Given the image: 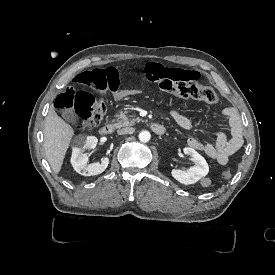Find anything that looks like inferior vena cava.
<instances>
[{
  "label": "inferior vena cava",
  "instance_id": "1",
  "mask_svg": "<svg viewBox=\"0 0 275 275\" xmlns=\"http://www.w3.org/2000/svg\"><path fill=\"white\" fill-rule=\"evenodd\" d=\"M134 132H135V128L133 127H126L117 131L119 135L133 134Z\"/></svg>",
  "mask_w": 275,
  "mask_h": 275
}]
</instances>
